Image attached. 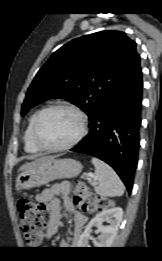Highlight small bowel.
Masks as SVG:
<instances>
[{"mask_svg": "<svg viewBox=\"0 0 162 261\" xmlns=\"http://www.w3.org/2000/svg\"><path fill=\"white\" fill-rule=\"evenodd\" d=\"M71 185L67 181L56 182L51 187L44 189L37 194L36 200L45 206L48 212V224L46 230V238H51L58 230L60 224V207L61 199L64 208L74 215V234L78 236L82 230L83 225L87 221V217L76 210L75 205L70 199ZM67 243L62 242V246Z\"/></svg>", "mask_w": 162, "mask_h": 261, "instance_id": "obj_1", "label": "small bowel"}]
</instances>
